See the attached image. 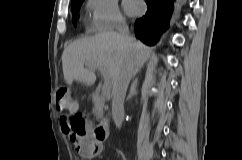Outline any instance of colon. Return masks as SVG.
Returning a JSON list of instances; mask_svg holds the SVG:
<instances>
[{"mask_svg": "<svg viewBox=\"0 0 242 160\" xmlns=\"http://www.w3.org/2000/svg\"><path fill=\"white\" fill-rule=\"evenodd\" d=\"M56 105L61 112H70L69 115L62 117L66 122L69 133L75 136H83L87 129V121L84 116L72 110V98L69 89L66 86H60L56 92ZM91 148L87 155L89 157L97 156L100 153V144L96 141L90 142Z\"/></svg>", "mask_w": 242, "mask_h": 160, "instance_id": "5ec220e1", "label": "colon"}]
</instances>
